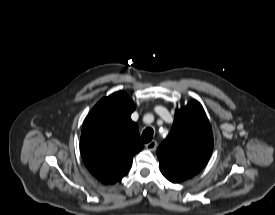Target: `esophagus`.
Returning <instances> with one entry per match:
<instances>
[{
    "label": "esophagus",
    "instance_id": "obj_1",
    "mask_svg": "<svg viewBox=\"0 0 275 215\" xmlns=\"http://www.w3.org/2000/svg\"><path fill=\"white\" fill-rule=\"evenodd\" d=\"M145 147H146V149H148V150H150V151H155L156 148H157V142L153 140V141L147 143V144L145 145Z\"/></svg>",
    "mask_w": 275,
    "mask_h": 215
}]
</instances>
